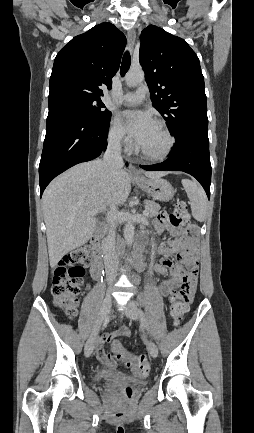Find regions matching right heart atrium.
<instances>
[{
  "label": "right heart atrium",
  "instance_id": "obj_1",
  "mask_svg": "<svg viewBox=\"0 0 254 433\" xmlns=\"http://www.w3.org/2000/svg\"><path fill=\"white\" fill-rule=\"evenodd\" d=\"M108 140L117 148L128 150L131 142L118 118H113L108 128Z\"/></svg>",
  "mask_w": 254,
  "mask_h": 433
}]
</instances>
